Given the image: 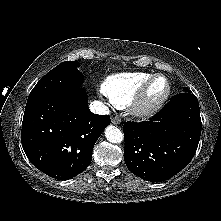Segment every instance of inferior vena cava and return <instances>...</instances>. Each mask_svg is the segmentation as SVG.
<instances>
[{"label":"inferior vena cava","instance_id":"602c4592","mask_svg":"<svg viewBox=\"0 0 221 221\" xmlns=\"http://www.w3.org/2000/svg\"><path fill=\"white\" fill-rule=\"evenodd\" d=\"M89 107L91 112L99 115H107L110 112L109 108L100 101L91 102Z\"/></svg>","mask_w":221,"mask_h":221}]
</instances>
